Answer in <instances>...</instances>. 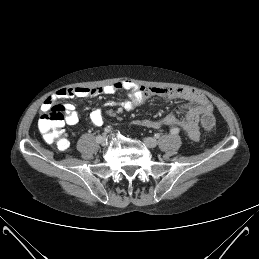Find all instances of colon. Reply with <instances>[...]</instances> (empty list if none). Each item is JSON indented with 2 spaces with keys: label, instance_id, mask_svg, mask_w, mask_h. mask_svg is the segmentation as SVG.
<instances>
[{
  "label": "colon",
  "instance_id": "obj_1",
  "mask_svg": "<svg viewBox=\"0 0 259 259\" xmlns=\"http://www.w3.org/2000/svg\"><path fill=\"white\" fill-rule=\"evenodd\" d=\"M65 107L52 103L44 110L38 120V129L44 140L57 146L58 149L66 150L69 141L64 129ZM201 125L206 130H212L215 126V117L212 114H204L201 117Z\"/></svg>",
  "mask_w": 259,
  "mask_h": 259
}]
</instances>
